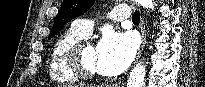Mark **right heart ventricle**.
<instances>
[{
	"mask_svg": "<svg viewBox=\"0 0 205 87\" xmlns=\"http://www.w3.org/2000/svg\"><path fill=\"white\" fill-rule=\"evenodd\" d=\"M84 37L73 28L62 33L55 41L49 60V76L56 84H71L77 81L66 64V54L69 49Z\"/></svg>",
	"mask_w": 205,
	"mask_h": 87,
	"instance_id": "obj_1",
	"label": "right heart ventricle"
}]
</instances>
